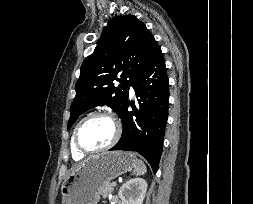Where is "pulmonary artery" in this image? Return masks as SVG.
<instances>
[{
  "label": "pulmonary artery",
  "instance_id": "obj_1",
  "mask_svg": "<svg viewBox=\"0 0 253 204\" xmlns=\"http://www.w3.org/2000/svg\"><path fill=\"white\" fill-rule=\"evenodd\" d=\"M129 94H130V96H133V95H134V90H133L132 87H130Z\"/></svg>",
  "mask_w": 253,
  "mask_h": 204
}]
</instances>
